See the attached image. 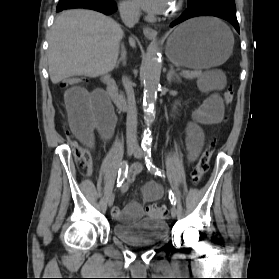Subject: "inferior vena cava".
Wrapping results in <instances>:
<instances>
[{
    "mask_svg": "<svg viewBox=\"0 0 279 279\" xmlns=\"http://www.w3.org/2000/svg\"><path fill=\"white\" fill-rule=\"evenodd\" d=\"M119 12L123 23L132 28L138 23L140 18V10L137 6L129 3L120 5ZM125 90L127 94V142L129 146L136 148L137 142V109L134 96L132 82L128 77L124 78Z\"/></svg>",
    "mask_w": 279,
    "mask_h": 279,
    "instance_id": "inferior-vena-cava-1",
    "label": "inferior vena cava"
}]
</instances>
